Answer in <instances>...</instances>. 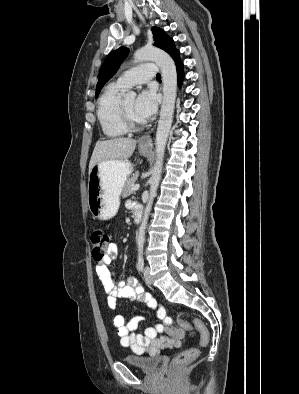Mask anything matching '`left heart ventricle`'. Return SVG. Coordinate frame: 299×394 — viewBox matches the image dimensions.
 Segmentation results:
<instances>
[{
	"label": "left heart ventricle",
	"instance_id": "1",
	"mask_svg": "<svg viewBox=\"0 0 299 394\" xmlns=\"http://www.w3.org/2000/svg\"><path fill=\"white\" fill-rule=\"evenodd\" d=\"M134 104H135V99L134 98L124 99V106H125V109L127 110L128 114H129V116L134 121L140 122L141 120L135 114Z\"/></svg>",
	"mask_w": 299,
	"mask_h": 394
}]
</instances>
